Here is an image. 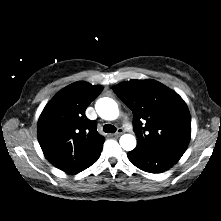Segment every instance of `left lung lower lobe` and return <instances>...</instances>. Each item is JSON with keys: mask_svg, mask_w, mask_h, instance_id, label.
I'll return each instance as SVG.
<instances>
[{"mask_svg": "<svg viewBox=\"0 0 221 221\" xmlns=\"http://www.w3.org/2000/svg\"><path fill=\"white\" fill-rule=\"evenodd\" d=\"M182 155L178 152L137 147L127 154L133 165L150 173H162L168 170L179 161Z\"/></svg>", "mask_w": 221, "mask_h": 221, "instance_id": "left-lung-lower-lobe-1", "label": "left lung lower lobe"}]
</instances>
